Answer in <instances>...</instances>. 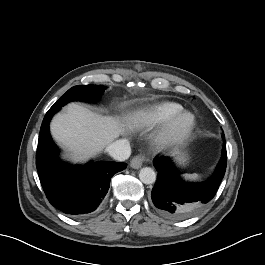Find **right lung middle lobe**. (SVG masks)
<instances>
[{
	"label": "right lung middle lobe",
	"mask_w": 265,
	"mask_h": 265,
	"mask_svg": "<svg viewBox=\"0 0 265 265\" xmlns=\"http://www.w3.org/2000/svg\"><path fill=\"white\" fill-rule=\"evenodd\" d=\"M106 87L100 85H77L69 89L52 108H61L70 101H90L94 102L100 99L101 93Z\"/></svg>",
	"instance_id": "right-lung-middle-lobe-1"
}]
</instances>
